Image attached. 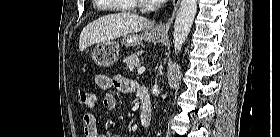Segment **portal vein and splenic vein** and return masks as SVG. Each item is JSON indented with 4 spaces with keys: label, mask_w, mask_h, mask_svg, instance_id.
<instances>
[{
    "label": "portal vein and splenic vein",
    "mask_w": 280,
    "mask_h": 137,
    "mask_svg": "<svg viewBox=\"0 0 280 137\" xmlns=\"http://www.w3.org/2000/svg\"><path fill=\"white\" fill-rule=\"evenodd\" d=\"M145 71V67L138 68V74H142Z\"/></svg>",
    "instance_id": "18ae733b"
}]
</instances>
